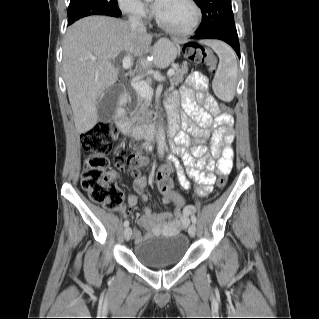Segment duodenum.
Wrapping results in <instances>:
<instances>
[{"instance_id": "duodenum-1", "label": "duodenum", "mask_w": 319, "mask_h": 319, "mask_svg": "<svg viewBox=\"0 0 319 319\" xmlns=\"http://www.w3.org/2000/svg\"><path fill=\"white\" fill-rule=\"evenodd\" d=\"M127 96L122 95L119 100V106L116 113V122L121 131L129 137L146 143L150 142L157 133H160V128L151 123H138L132 125L126 109ZM179 129V121L171 116L165 130L169 137L175 136Z\"/></svg>"}]
</instances>
